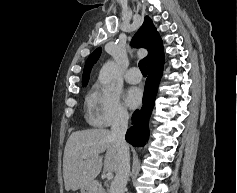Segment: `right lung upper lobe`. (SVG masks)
Listing matches in <instances>:
<instances>
[{
    "label": "right lung upper lobe",
    "instance_id": "cb5924a9",
    "mask_svg": "<svg viewBox=\"0 0 237 193\" xmlns=\"http://www.w3.org/2000/svg\"><path fill=\"white\" fill-rule=\"evenodd\" d=\"M132 45L137 48H145L148 55L145 57L147 65L164 57L163 44L159 33L153 25L152 20L146 16L140 29L132 39ZM101 54V48H97L87 59L82 75V85L86 86L89 80V74L94 63Z\"/></svg>",
    "mask_w": 237,
    "mask_h": 193
}]
</instances>
